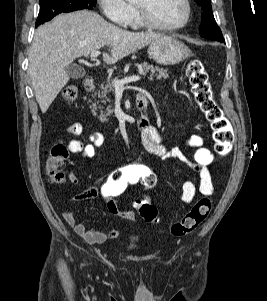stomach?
<instances>
[{"instance_id":"1","label":"stomach","mask_w":267,"mask_h":301,"mask_svg":"<svg viewBox=\"0 0 267 301\" xmlns=\"http://www.w3.org/2000/svg\"><path fill=\"white\" fill-rule=\"evenodd\" d=\"M148 55L161 65L178 64L191 56V50L182 41L165 36L148 47Z\"/></svg>"}]
</instances>
